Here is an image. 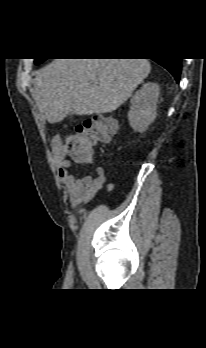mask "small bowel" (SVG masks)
Instances as JSON below:
<instances>
[{"label": "small bowel", "instance_id": "c3829d8e", "mask_svg": "<svg viewBox=\"0 0 206 348\" xmlns=\"http://www.w3.org/2000/svg\"><path fill=\"white\" fill-rule=\"evenodd\" d=\"M58 142L59 139L55 138L54 145L57 146ZM55 160L58 165V174L65 185L73 210L87 205L94 195L103 187L107 186L109 190L113 187L112 184H106V170L103 166L96 167L95 177L83 176L77 178L70 173L71 162L66 159L64 155L56 153ZM95 161V156L92 152V160L82 164L94 165Z\"/></svg>", "mask_w": 206, "mask_h": 348}]
</instances>
